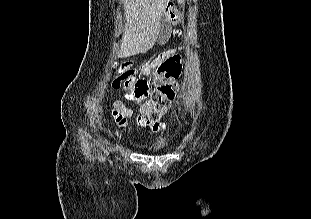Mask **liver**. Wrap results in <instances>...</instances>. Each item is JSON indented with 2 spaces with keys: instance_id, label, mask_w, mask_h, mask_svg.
<instances>
[{
  "instance_id": "liver-1",
  "label": "liver",
  "mask_w": 311,
  "mask_h": 219,
  "mask_svg": "<svg viewBox=\"0 0 311 219\" xmlns=\"http://www.w3.org/2000/svg\"><path fill=\"white\" fill-rule=\"evenodd\" d=\"M169 0H126L127 24L119 56L148 51L158 37L162 14ZM183 3V0H178Z\"/></svg>"
}]
</instances>
